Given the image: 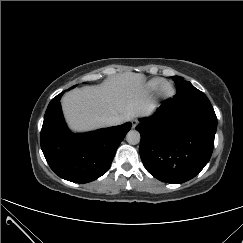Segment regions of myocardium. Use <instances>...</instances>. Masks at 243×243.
I'll list each match as a JSON object with an SVG mask.
<instances>
[{
  "label": "myocardium",
  "instance_id": "1",
  "mask_svg": "<svg viewBox=\"0 0 243 243\" xmlns=\"http://www.w3.org/2000/svg\"><path fill=\"white\" fill-rule=\"evenodd\" d=\"M167 88H170V91L167 92ZM158 95L164 100H169L175 95V87L171 82H164L158 89Z\"/></svg>",
  "mask_w": 243,
  "mask_h": 243
}]
</instances>
